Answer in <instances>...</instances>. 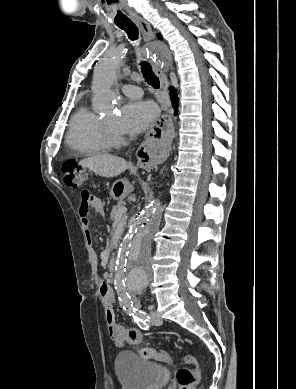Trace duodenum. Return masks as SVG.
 Here are the masks:
<instances>
[{
	"mask_svg": "<svg viewBox=\"0 0 296 389\" xmlns=\"http://www.w3.org/2000/svg\"><path fill=\"white\" fill-rule=\"evenodd\" d=\"M108 268H109L110 272H114V270H115V258L114 257L110 258L109 263H108Z\"/></svg>",
	"mask_w": 296,
	"mask_h": 389,
	"instance_id": "duodenum-1",
	"label": "duodenum"
}]
</instances>
